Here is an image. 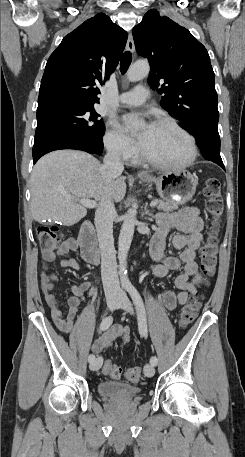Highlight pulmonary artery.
<instances>
[{
    "instance_id": "obj_1",
    "label": "pulmonary artery",
    "mask_w": 245,
    "mask_h": 457,
    "mask_svg": "<svg viewBox=\"0 0 245 457\" xmlns=\"http://www.w3.org/2000/svg\"><path fill=\"white\" fill-rule=\"evenodd\" d=\"M150 97L148 86H135L134 91L122 93L118 102L124 105H141Z\"/></svg>"
}]
</instances>
